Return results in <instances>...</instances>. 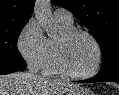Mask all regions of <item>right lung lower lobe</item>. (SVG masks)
Listing matches in <instances>:
<instances>
[{
	"label": "right lung lower lobe",
	"instance_id": "obj_1",
	"mask_svg": "<svg viewBox=\"0 0 119 95\" xmlns=\"http://www.w3.org/2000/svg\"><path fill=\"white\" fill-rule=\"evenodd\" d=\"M26 66H16V65H7V64H0V75L9 74L16 71H22L25 69Z\"/></svg>",
	"mask_w": 119,
	"mask_h": 95
}]
</instances>
